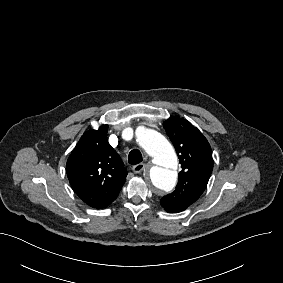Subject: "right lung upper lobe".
Returning <instances> with one entry per match:
<instances>
[{"label":"right lung upper lobe","instance_id":"obj_1","mask_svg":"<svg viewBox=\"0 0 283 283\" xmlns=\"http://www.w3.org/2000/svg\"><path fill=\"white\" fill-rule=\"evenodd\" d=\"M108 125L88 130L80 138L66 165L74 192L87 205L102 209L118 196L126 181V168L107 142Z\"/></svg>","mask_w":283,"mask_h":283}]
</instances>
